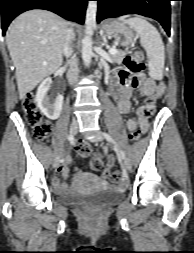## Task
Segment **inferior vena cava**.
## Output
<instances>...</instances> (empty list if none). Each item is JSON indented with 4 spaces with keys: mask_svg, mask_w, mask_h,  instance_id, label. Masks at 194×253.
<instances>
[{
    "mask_svg": "<svg viewBox=\"0 0 194 253\" xmlns=\"http://www.w3.org/2000/svg\"><path fill=\"white\" fill-rule=\"evenodd\" d=\"M74 37H75V34L73 32V29L67 28L64 47H63V53L67 59V64L69 65L67 79L71 85L75 81H77L78 74H79L78 62L75 55H73V49L71 47V43L74 40Z\"/></svg>",
    "mask_w": 194,
    "mask_h": 253,
    "instance_id": "inferior-vena-cava-1",
    "label": "inferior vena cava"
}]
</instances>
